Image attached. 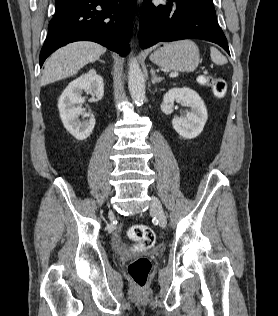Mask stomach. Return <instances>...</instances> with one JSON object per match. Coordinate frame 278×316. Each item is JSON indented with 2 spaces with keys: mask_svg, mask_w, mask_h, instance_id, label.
<instances>
[{
  "mask_svg": "<svg viewBox=\"0 0 278 316\" xmlns=\"http://www.w3.org/2000/svg\"><path fill=\"white\" fill-rule=\"evenodd\" d=\"M150 60L167 69L193 72L200 63L197 45L189 40L165 44L150 55Z\"/></svg>",
  "mask_w": 278,
  "mask_h": 316,
  "instance_id": "0dacf381",
  "label": "stomach"
}]
</instances>
